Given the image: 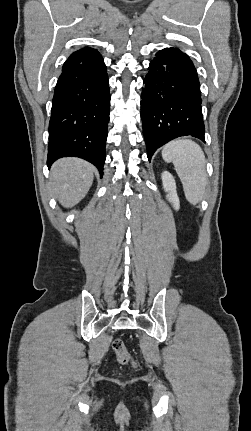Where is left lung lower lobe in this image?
I'll use <instances>...</instances> for the list:
<instances>
[{
    "label": "left lung lower lobe",
    "instance_id": "left-lung-lower-lobe-1",
    "mask_svg": "<svg viewBox=\"0 0 251 431\" xmlns=\"http://www.w3.org/2000/svg\"><path fill=\"white\" fill-rule=\"evenodd\" d=\"M141 118L149 161L157 148L180 136L205 141L200 83L190 58L165 48L150 62L141 95Z\"/></svg>",
    "mask_w": 251,
    "mask_h": 431
}]
</instances>
